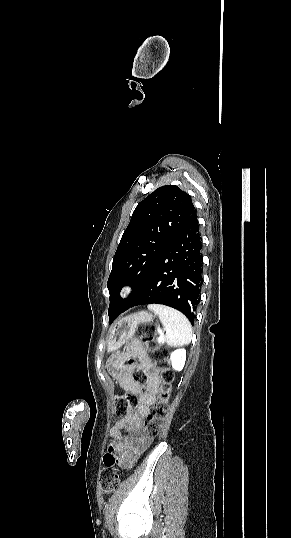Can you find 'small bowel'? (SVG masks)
<instances>
[{
    "label": "small bowel",
    "instance_id": "obj_1",
    "mask_svg": "<svg viewBox=\"0 0 291 538\" xmlns=\"http://www.w3.org/2000/svg\"><path fill=\"white\" fill-rule=\"evenodd\" d=\"M130 351L142 359L146 368L148 382L145 388L135 383L130 371L121 366L123 363L121 354H112L106 365L108 376L116 378L123 390L139 396L140 399L136 410L118 420L110 430L112 441L108 451L115 455L117 463L123 469H130L152 443L153 438L145 431L142 417L148 414L155 402V394L160 385L157 371L144 358L139 345H132Z\"/></svg>",
    "mask_w": 291,
    "mask_h": 538
}]
</instances>
